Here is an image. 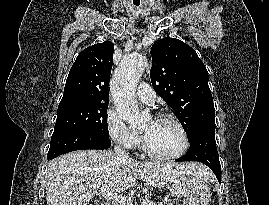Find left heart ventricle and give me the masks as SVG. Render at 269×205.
<instances>
[{"mask_svg":"<svg viewBox=\"0 0 269 205\" xmlns=\"http://www.w3.org/2000/svg\"><path fill=\"white\" fill-rule=\"evenodd\" d=\"M148 146L160 154L178 152L183 146V137L176 125L167 120L148 121L142 128Z\"/></svg>","mask_w":269,"mask_h":205,"instance_id":"obj_1","label":"left heart ventricle"}]
</instances>
